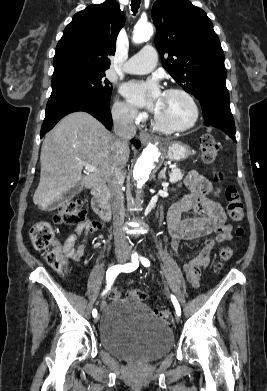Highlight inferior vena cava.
<instances>
[{"instance_id": "obj_1", "label": "inferior vena cava", "mask_w": 267, "mask_h": 391, "mask_svg": "<svg viewBox=\"0 0 267 391\" xmlns=\"http://www.w3.org/2000/svg\"><path fill=\"white\" fill-rule=\"evenodd\" d=\"M115 141L113 143L114 159L110 166L108 185L111 191V202L113 210V227L115 251L117 253L128 251V243L125 232L122 229L124 223V195L122 186L124 176L121 161L125 151L129 150L128 142L136 134L134 115L130 112H121L113 116Z\"/></svg>"}]
</instances>
